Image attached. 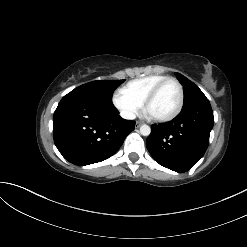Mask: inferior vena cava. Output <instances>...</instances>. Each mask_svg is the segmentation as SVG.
Returning a JSON list of instances; mask_svg holds the SVG:
<instances>
[{"label": "inferior vena cava", "mask_w": 247, "mask_h": 247, "mask_svg": "<svg viewBox=\"0 0 247 247\" xmlns=\"http://www.w3.org/2000/svg\"><path fill=\"white\" fill-rule=\"evenodd\" d=\"M121 116L124 119H129V120L135 119V114L132 113V112H129V111H123V112H121Z\"/></svg>", "instance_id": "obj_1"}]
</instances>
